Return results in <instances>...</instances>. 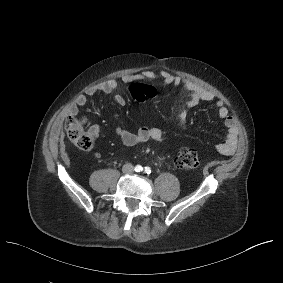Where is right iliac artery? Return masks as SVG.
I'll list each match as a JSON object with an SVG mask.
<instances>
[{
  "instance_id": "obj_1",
  "label": "right iliac artery",
  "mask_w": 283,
  "mask_h": 283,
  "mask_svg": "<svg viewBox=\"0 0 283 283\" xmlns=\"http://www.w3.org/2000/svg\"><path fill=\"white\" fill-rule=\"evenodd\" d=\"M142 170H143V167L140 166V165H137V166L135 167V171H136V172H141Z\"/></svg>"
}]
</instances>
